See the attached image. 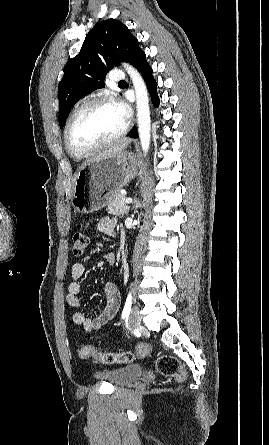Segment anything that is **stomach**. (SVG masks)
<instances>
[{
	"label": "stomach",
	"mask_w": 269,
	"mask_h": 445,
	"mask_svg": "<svg viewBox=\"0 0 269 445\" xmlns=\"http://www.w3.org/2000/svg\"><path fill=\"white\" fill-rule=\"evenodd\" d=\"M136 174V156L129 151L85 164L75 176L74 210L83 214L101 210Z\"/></svg>",
	"instance_id": "obj_1"
}]
</instances>
